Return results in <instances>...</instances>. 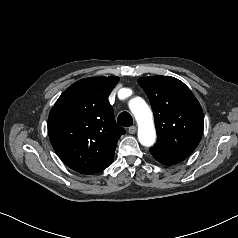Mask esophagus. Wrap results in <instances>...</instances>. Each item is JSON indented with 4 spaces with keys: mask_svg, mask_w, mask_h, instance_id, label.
<instances>
[{
    "mask_svg": "<svg viewBox=\"0 0 238 238\" xmlns=\"http://www.w3.org/2000/svg\"><path fill=\"white\" fill-rule=\"evenodd\" d=\"M136 131H137V128H136L135 126H131V127H129V129H128V132H129L130 134H135Z\"/></svg>",
    "mask_w": 238,
    "mask_h": 238,
    "instance_id": "34e87169",
    "label": "esophagus"
}]
</instances>
